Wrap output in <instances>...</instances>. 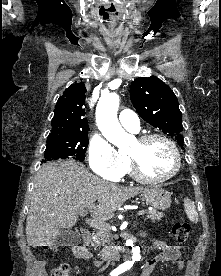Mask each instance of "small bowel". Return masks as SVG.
<instances>
[{
	"label": "small bowel",
	"mask_w": 221,
	"mask_h": 276,
	"mask_svg": "<svg viewBox=\"0 0 221 276\" xmlns=\"http://www.w3.org/2000/svg\"><path fill=\"white\" fill-rule=\"evenodd\" d=\"M156 247L161 249V253L157 255L156 257L146 261L141 276H150L153 269L159 262L164 261H172L177 263L178 269L183 270L184 263L181 259V247L180 246H169L165 244L164 242L157 241L154 243ZM74 254L77 258L83 259V260H90L92 259V254L90 251L82 246H76L74 248ZM94 264L97 267H100L102 265V262L100 260H94Z\"/></svg>",
	"instance_id": "c3829d8e"
}]
</instances>
